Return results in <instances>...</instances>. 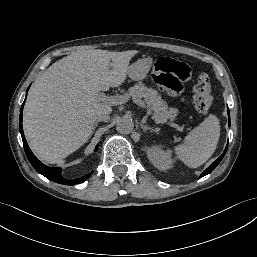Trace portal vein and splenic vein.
I'll use <instances>...</instances> for the list:
<instances>
[{
    "label": "portal vein and splenic vein",
    "mask_w": 257,
    "mask_h": 257,
    "mask_svg": "<svg viewBox=\"0 0 257 257\" xmlns=\"http://www.w3.org/2000/svg\"><path fill=\"white\" fill-rule=\"evenodd\" d=\"M98 98L109 104V105H121V104H124L127 102L128 98L125 96V95H120V96H106L104 93H99L97 94ZM134 102L143 107V108H146L145 104L141 101V100H134ZM174 127H176V125L174 124L173 125Z\"/></svg>",
    "instance_id": "1"
}]
</instances>
